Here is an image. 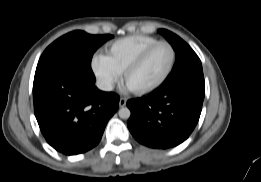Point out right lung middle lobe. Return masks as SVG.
I'll return each instance as SVG.
<instances>
[{
	"instance_id": "right-lung-middle-lobe-1",
	"label": "right lung middle lobe",
	"mask_w": 261,
	"mask_h": 182,
	"mask_svg": "<svg viewBox=\"0 0 261 182\" xmlns=\"http://www.w3.org/2000/svg\"><path fill=\"white\" fill-rule=\"evenodd\" d=\"M113 35H89L84 31L70 32L54 41L41 55L35 75L60 65H71L85 81L95 82L91 70L93 53Z\"/></svg>"
}]
</instances>
